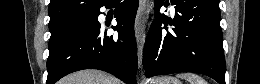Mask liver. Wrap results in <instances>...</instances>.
<instances>
[{"mask_svg":"<svg viewBox=\"0 0 260 84\" xmlns=\"http://www.w3.org/2000/svg\"><path fill=\"white\" fill-rule=\"evenodd\" d=\"M59 84H120V81L102 71L82 70L64 77Z\"/></svg>","mask_w":260,"mask_h":84,"instance_id":"obj_1","label":"liver"}]
</instances>
